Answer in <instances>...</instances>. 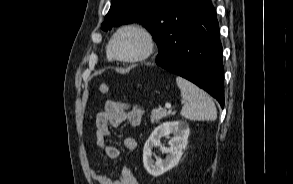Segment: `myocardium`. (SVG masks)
Instances as JSON below:
<instances>
[{
  "label": "myocardium",
  "instance_id": "f54148a6",
  "mask_svg": "<svg viewBox=\"0 0 293 184\" xmlns=\"http://www.w3.org/2000/svg\"><path fill=\"white\" fill-rule=\"evenodd\" d=\"M126 30H134L137 31L138 33H140L144 40H145V46L143 51L133 57H122L119 56L118 54H116L115 50H114V41L117 38V36L122 33L123 31ZM156 47V42H155V38L153 36V34L151 33V31L144 25L139 24V23H128L125 24L123 26H121L120 28H118L115 33L112 35L109 44H108V50L109 53L111 55V57L117 61L120 62H125V63H136V62H141L144 61L146 59H148L155 50Z\"/></svg>",
  "mask_w": 293,
  "mask_h": 184
}]
</instances>
